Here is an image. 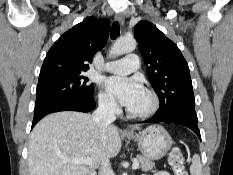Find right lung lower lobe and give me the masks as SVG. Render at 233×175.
Masks as SVG:
<instances>
[{
    "label": "right lung lower lobe",
    "mask_w": 233,
    "mask_h": 175,
    "mask_svg": "<svg viewBox=\"0 0 233 175\" xmlns=\"http://www.w3.org/2000/svg\"><path fill=\"white\" fill-rule=\"evenodd\" d=\"M95 107L93 99L88 101H76V100H50L41 104L35 105L34 119L32 122V128L34 125L45 115L59 111H79L89 112Z\"/></svg>",
    "instance_id": "98d812e1"
}]
</instances>
